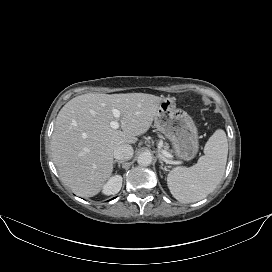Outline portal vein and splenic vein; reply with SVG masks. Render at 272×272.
Instances as JSON below:
<instances>
[{
    "mask_svg": "<svg viewBox=\"0 0 272 272\" xmlns=\"http://www.w3.org/2000/svg\"><path fill=\"white\" fill-rule=\"evenodd\" d=\"M113 116H114V120L110 122V126L113 128V129H118L119 128V119L121 117V113L119 110L117 109H113ZM162 154L165 156V157H170V154L167 153L166 151H162Z\"/></svg>",
    "mask_w": 272,
    "mask_h": 272,
    "instance_id": "portal-vein-and-splenic-vein-1",
    "label": "portal vein and splenic vein"
}]
</instances>
